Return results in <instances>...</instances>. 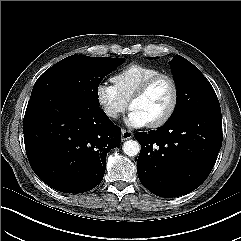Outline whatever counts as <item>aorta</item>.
<instances>
[{"label":"aorta","instance_id":"aorta-1","mask_svg":"<svg viewBox=\"0 0 241 241\" xmlns=\"http://www.w3.org/2000/svg\"><path fill=\"white\" fill-rule=\"evenodd\" d=\"M122 149L126 155L133 157L139 154L140 144L136 140H128L124 142Z\"/></svg>","mask_w":241,"mask_h":241}]
</instances>
